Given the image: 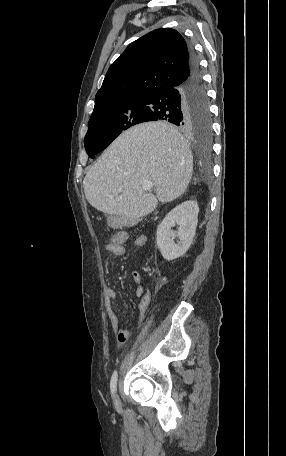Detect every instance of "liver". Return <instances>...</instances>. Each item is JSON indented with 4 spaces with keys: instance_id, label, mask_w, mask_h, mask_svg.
Segmentation results:
<instances>
[{
    "instance_id": "6515ba94",
    "label": "liver",
    "mask_w": 286,
    "mask_h": 456,
    "mask_svg": "<svg viewBox=\"0 0 286 456\" xmlns=\"http://www.w3.org/2000/svg\"><path fill=\"white\" fill-rule=\"evenodd\" d=\"M193 172L188 142L171 124L157 121L123 132L89 169L83 180L87 201L103 213L130 221L151 213L187 189ZM154 183L156 196L142 183Z\"/></svg>"
}]
</instances>
